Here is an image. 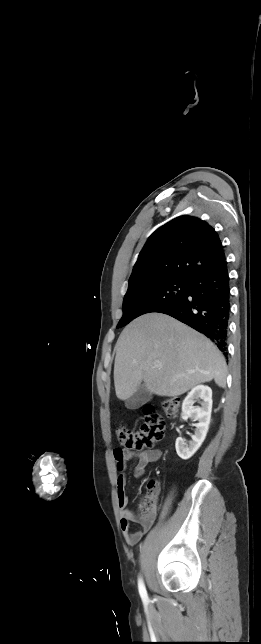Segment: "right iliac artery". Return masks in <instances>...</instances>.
Returning a JSON list of instances; mask_svg holds the SVG:
<instances>
[{"instance_id":"1","label":"right iliac artery","mask_w":261,"mask_h":644,"mask_svg":"<svg viewBox=\"0 0 261 644\" xmlns=\"http://www.w3.org/2000/svg\"><path fill=\"white\" fill-rule=\"evenodd\" d=\"M138 588H139V593H140V596H141L142 600L146 601L147 598H148L147 597V592H146L144 583H143L141 578L138 581Z\"/></svg>"}]
</instances>
